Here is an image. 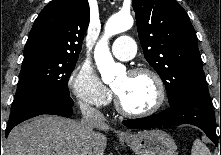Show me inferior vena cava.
I'll use <instances>...</instances> for the list:
<instances>
[{"label":"inferior vena cava","instance_id":"inferior-vena-cava-1","mask_svg":"<svg viewBox=\"0 0 221 155\" xmlns=\"http://www.w3.org/2000/svg\"><path fill=\"white\" fill-rule=\"evenodd\" d=\"M80 109L83 115V121L86 125L88 136L92 138L94 136L93 128L98 123L104 122L106 119L99 110L91 107L87 103H81Z\"/></svg>","mask_w":221,"mask_h":155}]
</instances>
